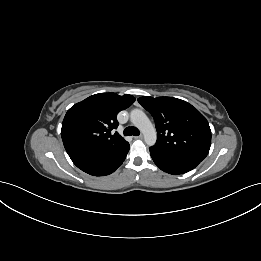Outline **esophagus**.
<instances>
[{
    "label": "esophagus",
    "mask_w": 261,
    "mask_h": 261,
    "mask_svg": "<svg viewBox=\"0 0 261 261\" xmlns=\"http://www.w3.org/2000/svg\"><path fill=\"white\" fill-rule=\"evenodd\" d=\"M134 139L142 140L143 139V135L136 136V137H134Z\"/></svg>",
    "instance_id": "obj_1"
}]
</instances>
